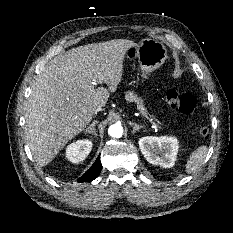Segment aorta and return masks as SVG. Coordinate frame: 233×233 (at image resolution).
Returning <instances> with one entry per match:
<instances>
[{"label": "aorta", "instance_id": "1", "mask_svg": "<svg viewBox=\"0 0 233 233\" xmlns=\"http://www.w3.org/2000/svg\"><path fill=\"white\" fill-rule=\"evenodd\" d=\"M108 134L113 138H120L123 134V128L119 124H113L109 127Z\"/></svg>", "mask_w": 233, "mask_h": 233}]
</instances>
